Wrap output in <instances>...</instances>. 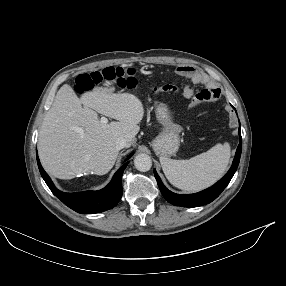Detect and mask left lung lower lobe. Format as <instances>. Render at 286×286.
<instances>
[{
	"instance_id": "obj_1",
	"label": "left lung lower lobe",
	"mask_w": 286,
	"mask_h": 286,
	"mask_svg": "<svg viewBox=\"0 0 286 286\" xmlns=\"http://www.w3.org/2000/svg\"><path fill=\"white\" fill-rule=\"evenodd\" d=\"M239 135H240V143L237 148L235 158L233 160V164L230 170L215 185H213L210 188H207L206 190H203L195 194H189V195L175 194L169 191L163 185L160 177L158 176L157 172L154 170L155 178L157 180L158 186L164 198L171 204L176 205V206H182V207H198V206L208 204L212 202L214 199H216L220 195V193L225 189V187L229 184L230 180L232 179L234 173L237 170V167L240 161L241 150H242V138H241L240 126H239Z\"/></svg>"
}]
</instances>
